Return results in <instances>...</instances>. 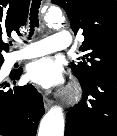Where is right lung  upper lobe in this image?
Wrapping results in <instances>:
<instances>
[{
    "label": "right lung upper lobe",
    "mask_w": 117,
    "mask_h": 136,
    "mask_svg": "<svg viewBox=\"0 0 117 136\" xmlns=\"http://www.w3.org/2000/svg\"><path fill=\"white\" fill-rule=\"evenodd\" d=\"M30 0H0V60L2 51L8 50L2 36L19 33V28L26 23Z\"/></svg>",
    "instance_id": "cb5924a9"
}]
</instances>
